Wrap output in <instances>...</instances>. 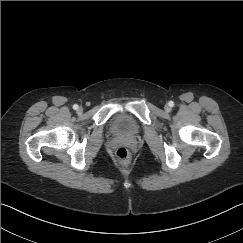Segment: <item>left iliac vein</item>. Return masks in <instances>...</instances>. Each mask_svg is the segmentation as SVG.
I'll use <instances>...</instances> for the list:
<instances>
[{
	"instance_id": "left-iliac-vein-1",
	"label": "left iliac vein",
	"mask_w": 243,
	"mask_h": 243,
	"mask_svg": "<svg viewBox=\"0 0 243 243\" xmlns=\"http://www.w3.org/2000/svg\"><path fill=\"white\" fill-rule=\"evenodd\" d=\"M170 107H169V105H165V110L167 111V112H169L170 111Z\"/></svg>"
}]
</instances>
